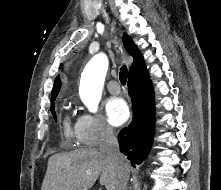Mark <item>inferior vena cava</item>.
<instances>
[{
	"mask_svg": "<svg viewBox=\"0 0 221 190\" xmlns=\"http://www.w3.org/2000/svg\"><path fill=\"white\" fill-rule=\"evenodd\" d=\"M99 151L106 155L118 172L116 190H127L129 180V163L119 150V144L110 127H104L100 135Z\"/></svg>",
	"mask_w": 221,
	"mask_h": 190,
	"instance_id": "1",
	"label": "inferior vena cava"
}]
</instances>
